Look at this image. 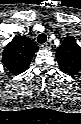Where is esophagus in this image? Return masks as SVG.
Instances as JSON below:
<instances>
[{"label": "esophagus", "instance_id": "obj_1", "mask_svg": "<svg viewBox=\"0 0 81 124\" xmlns=\"http://www.w3.org/2000/svg\"><path fill=\"white\" fill-rule=\"evenodd\" d=\"M52 46V43L50 40H48L46 43L42 44V48L44 49H50Z\"/></svg>", "mask_w": 81, "mask_h": 124}]
</instances>
